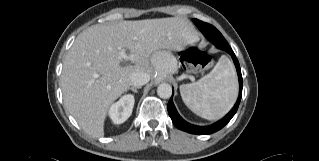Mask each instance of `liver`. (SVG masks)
<instances>
[{
  "label": "liver",
  "mask_w": 319,
  "mask_h": 161,
  "mask_svg": "<svg viewBox=\"0 0 319 161\" xmlns=\"http://www.w3.org/2000/svg\"><path fill=\"white\" fill-rule=\"evenodd\" d=\"M198 39L193 25L182 17L89 27L77 36L63 63L61 88L66 109L87 134L104 136L108 109L129 89L130 75L140 71L152 75L154 52L179 51ZM121 50L129 51L133 65H122L126 59Z\"/></svg>",
  "instance_id": "liver-1"
}]
</instances>
